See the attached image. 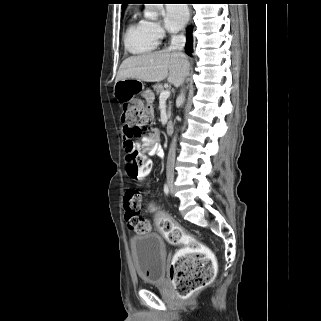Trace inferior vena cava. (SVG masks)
Here are the masks:
<instances>
[{
    "label": "inferior vena cava",
    "mask_w": 321,
    "mask_h": 321,
    "mask_svg": "<svg viewBox=\"0 0 321 321\" xmlns=\"http://www.w3.org/2000/svg\"><path fill=\"white\" fill-rule=\"evenodd\" d=\"M185 43H186V37L184 34H182V33L181 34H173L171 36V43H170V46L168 49L178 51L180 54H182V50L185 46ZM177 100L180 105L184 103L185 94H184L183 90L181 91ZM176 142H177V139H176V136H174V138L172 139V143L170 145L168 158H167V175H170V176L174 175V164H175V157H176Z\"/></svg>",
    "instance_id": "obj_1"
}]
</instances>
